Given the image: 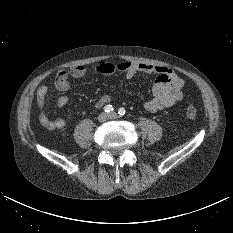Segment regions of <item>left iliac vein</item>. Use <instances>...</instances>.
<instances>
[{"mask_svg": "<svg viewBox=\"0 0 233 233\" xmlns=\"http://www.w3.org/2000/svg\"><path fill=\"white\" fill-rule=\"evenodd\" d=\"M108 116H109L110 119H116L117 118V113L112 112Z\"/></svg>", "mask_w": 233, "mask_h": 233, "instance_id": "1", "label": "left iliac vein"}]
</instances>
